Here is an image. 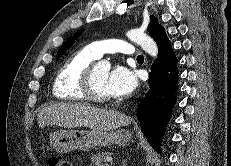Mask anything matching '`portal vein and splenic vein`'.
Wrapping results in <instances>:
<instances>
[{"mask_svg":"<svg viewBox=\"0 0 231 166\" xmlns=\"http://www.w3.org/2000/svg\"><path fill=\"white\" fill-rule=\"evenodd\" d=\"M106 162L111 163L112 162V158L111 157H107L106 158Z\"/></svg>","mask_w":231,"mask_h":166,"instance_id":"obj_1","label":"portal vein and splenic vein"}]
</instances>
